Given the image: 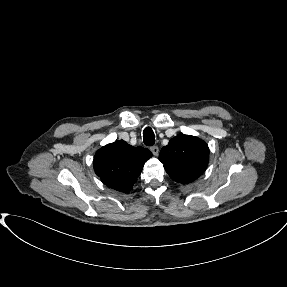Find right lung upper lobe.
I'll return each instance as SVG.
<instances>
[{"mask_svg": "<svg viewBox=\"0 0 287 287\" xmlns=\"http://www.w3.org/2000/svg\"><path fill=\"white\" fill-rule=\"evenodd\" d=\"M151 156L152 153L146 148H135L123 140H117L96 152L93 166L105 185L120 192H128Z\"/></svg>", "mask_w": 287, "mask_h": 287, "instance_id": "1", "label": "right lung upper lobe"}]
</instances>
